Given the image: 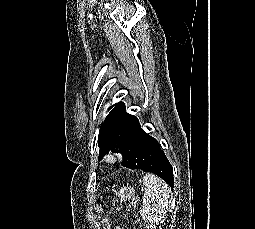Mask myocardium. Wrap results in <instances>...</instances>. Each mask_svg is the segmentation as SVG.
<instances>
[{
    "instance_id": "1",
    "label": "myocardium",
    "mask_w": 255,
    "mask_h": 229,
    "mask_svg": "<svg viewBox=\"0 0 255 229\" xmlns=\"http://www.w3.org/2000/svg\"><path fill=\"white\" fill-rule=\"evenodd\" d=\"M118 161V155L116 153H108L106 156H105V162L107 164H115L116 162Z\"/></svg>"
}]
</instances>
